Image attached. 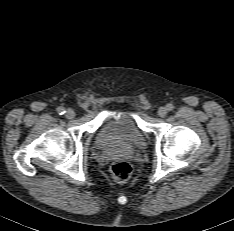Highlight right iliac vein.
Returning a JSON list of instances; mask_svg holds the SVG:
<instances>
[{
    "mask_svg": "<svg viewBox=\"0 0 234 231\" xmlns=\"http://www.w3.org/2000/svg\"><path fill=\"white\" fill-rule=\"evenodd\" d=\"M66 118L73 119L75 117V112L72 109H68L65 114Z\"/></svg>",
    "mask_w": 234,
    "mask_h": 231,
    "instance_id": "1",
    "label": "right iliac vein"
}]
</instances>
